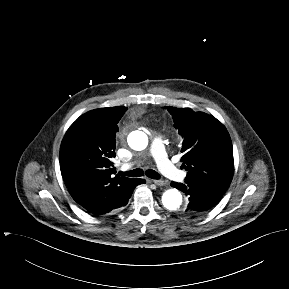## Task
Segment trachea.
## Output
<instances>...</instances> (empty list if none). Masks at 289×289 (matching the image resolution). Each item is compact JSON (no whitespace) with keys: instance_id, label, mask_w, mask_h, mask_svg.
I'll use <instances>...</instances> for the list:
<instances>
[{"instance_id":"trachea-1","label":"trachea","mask_w":289,"mask_h":289,"mask_svg":"<svg viewBox=\"0 0 289 289\" xmlns=\"http://www.w3.org/2000/svg\"><path fill=\"white\" fill-rule=\"evenodd\" d=\"M123 175H126V176H130V177H140V176H143L144 175V171L140 168H137V169H134L132 171H129V172H125V173H122ZM146 176L149 177V178H152V179H159L160 176L159 174L152 170V169H148L146 172H145Z\"/></svg>"}]
</instances>
